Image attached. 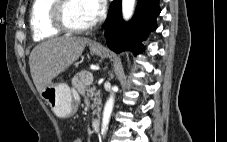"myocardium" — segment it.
Returning <instances> with one entry per match:
<instances>
[{
	"label": "myocardium",
	"mask_w": 227,
	"mask_h": 142,
	"mask_svg": "<svg viewBox=\"0 0 227 142\" xmlns=\"http://www.w3.org/2000/svg\"><path fill=\"white\" fill-rule=\"evenodd\" d=\"M70 0H55L51 6L49 17L51 24L54 28L61 32L66 33H83L91 30L96 25V22L85 25V26H73L66 18V8Z\"/></svg>",
	"instance_id": "obj_1"
}]
</instances>
